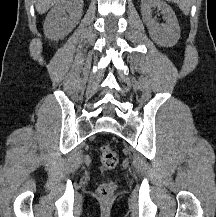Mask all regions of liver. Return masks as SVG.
Listing matches in <instances>:
<instances>
[{
	"label": "liver",
	"mask_w": 216,
	"mask_h": 217,
	"mask_svg": "<svg viewBox=\"0 0 216 217\" xmlns=\"http://www.w3.org/2000/svg\"><path fill=\"white\" fill-rule=\"evenodd\" d=\"M59 0H34L36 10L39 14H44Z\"/></svg>",
	"instance_id": "liver-1"
}]
</instances>
